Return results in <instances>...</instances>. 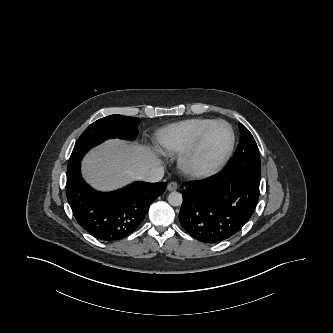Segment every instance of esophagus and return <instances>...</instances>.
Here are the masks:
<instances>
[{
  "label": "esophagus",
  "instance_id": "1",
  "mask_svg": "<svg viewBox=\"0 0 333 333\" xmlns=\"http://www.w3.org/2000/svg\"><path fill=\"white\" fill-rule=\"evenodd\" d=\"M168 191H175L178 189V184L176 182H170L167 186Z\"/></svg>",
  "mask_w": 333,
  "mask_h": 333
}]
</instances>
